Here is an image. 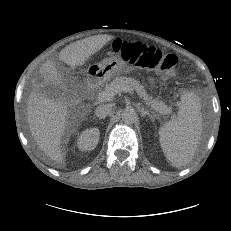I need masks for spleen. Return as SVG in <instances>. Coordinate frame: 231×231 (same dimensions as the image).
<instances>
[{
	"mask_svg": "<svg viewBox=\"0 0 231 231\" xmlns=\"http://www.w3.org/2000/svg\"><path fill=\"white\" fill-rule=\"evenodd\" d=\"M202 133L201 104L194 92L181 97L176 118L159 130V142L168 162L182 167L191 162L197 151Z\"/></svg>",
	"mask_w": 231,
	"mask_h": 231,
	"instance_id": "3e777b00",
	"label": "spleen"
}]
</instances>
